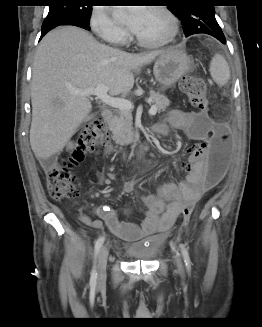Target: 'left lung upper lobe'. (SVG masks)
I'll return each mask as SVG.
<instances>
[{
	"label": "left lung upper lobe",
	"instance_id": "obj_1",
	"mask_svg": "<svg viewBox=\"0 0 262 327\" xmlns=\"http://www.w3.org/2000/svg\"><path fill=\"white\" fill-rule=\"evenodd\" d=\"M208 3V0H170L169 10L182 21L185 36L222 32L215 19L214 6Z\"/></svg>",
	"mask_w": 262,
	"mask_h": 327
}]
</instances>
